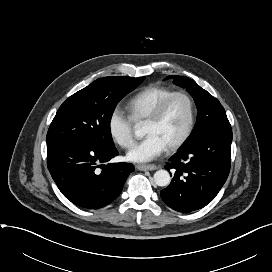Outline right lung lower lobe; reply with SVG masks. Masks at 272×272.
<instances>
[{"instance_id": "obj_1", "label": "right lung lower lobe", "mask_w": 272, "mask_h": 272, "mask_svg": "<svg viewBox=\"0 0 272 272\" xmlns=\"http://www.w3.org/2000/svg\"><path fill=\"white\" fill-rule=\"evenodd\" d=\"M117 155L115 147L68 143L47 150V166L69 201L79 207L98 209L119 196L127 177L134 171L130 163L104 165Z\"/></svg>"}]
</instances>
